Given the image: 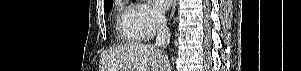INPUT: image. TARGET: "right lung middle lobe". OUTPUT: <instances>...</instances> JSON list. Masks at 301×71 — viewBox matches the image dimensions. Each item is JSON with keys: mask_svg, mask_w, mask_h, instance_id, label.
<instances>
[{"mask_svg": "<svg viewBox=\"0 0 301 71\" xmlns=\"http://www.w3.org/2000/svg\"><path fill=\"white\" fill-rule=\"evenodd\" d=\"M112 6H113L112 2L104 5V11L108 12L112 8Z\"/></svg>", "mask_w": 301, "mask_h": 71, "instance_id": "obj_1", "label": "right lung middle lobe"}]
</instances>
